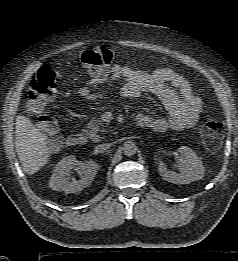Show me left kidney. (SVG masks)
<instances>
[{
	"instance_id": "5707ae66",
	"label": "left kidney",
	"mask_w": 238,
	"mask_h": 261,
	"mask_svg": "<svg viewBox=\"0 0 238 261\" xmlns=\"http://www.w3.org/2000/svg\"><path fill=\"white\" fill-rule=\"evenodd\" d=\"M179 157L177 165L180 173L168 170L166 165L159 161L158 171L161 177L168 182L174 184H188L190 182L200 180L204 177L205 168L201 159L196 153L187 146H181L178 148Z\"/></svg>"
}]
</instances>
